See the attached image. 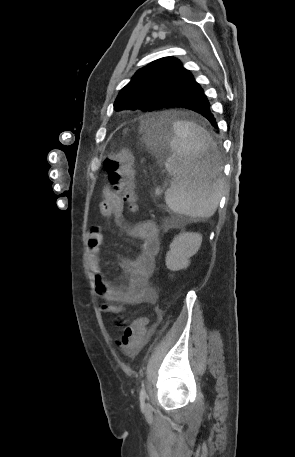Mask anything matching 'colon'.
Wrapping results in <instances>:
<instances>
[{
  "mask_svg": "<svg viewBox=\"0 0 295 457\" xmlns=\"http://www.w3.org/2000/svg\"><path fill=\"white\" fill-rule=\"evenodd\" d=\"M104 167L112 189L122 202L129 205L131 210H136L135 171L131 153L127 150H120L108 155L104 161ZM145 336L146 319L138 318L124 327L123 334L117 343L125 351L131 352L143 343Z\"/></svg>",
  "mask_w": 295,
  "mask_h": 457,
  "instance_id": "obj_1",
  "label": "colon"
}]
</instances>
